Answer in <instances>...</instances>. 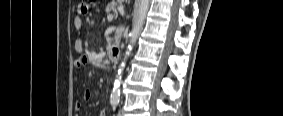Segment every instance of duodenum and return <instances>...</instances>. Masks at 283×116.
Segmentation results:
<instances>
[{"label": "duodenum", "instance_id": "obj_1", "mask_svg": "<svg viewBox=\"0 0 283 116\" xmlns=\"http://www.w3.org/2000/svg\"><path fill=\"white\" fill-rule=\"evenodd\" d=\"M120 49L118 46L110 45L108 51L109 60L112 62H116L119 59Z\"/></svg>", "mask_w": 283, "mask_h": 116}]
</instances>
